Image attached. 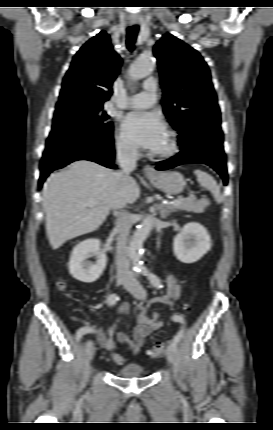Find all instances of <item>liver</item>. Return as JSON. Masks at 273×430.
Returning a JSON list of instances; mask_svg holds the SVG:
<instances>
[{"label": "liver", "instance_id": "6515ba94", "mask_svg": "<svg viewBox=\"0 0 273 430\" xmlns=\"http://www.w3.org/2000/svg\"><path fill=\"white\" fill-rule=\"evenodd\" d=\"M117 172L89 160H77L52 173L43 189L46 232L53 249L67 240L95 231L117 200L134 203L140 196L136 181L120 184ZM90 200L98 202L88 206Z\"/></svg>", "mask_w": 273, "mask_h": 430}]
</instances>
